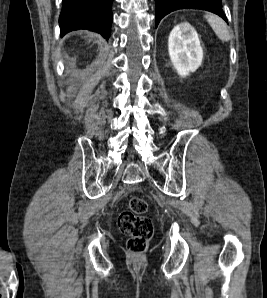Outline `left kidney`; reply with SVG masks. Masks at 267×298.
Here are the masks:
<instances>
[{
    "instance_id": "1",
    "label": "left kidney",
    "mask_w": 267,
    "mask_h": 298,
    "mask_svg": "<svg viewBox=\"0 0 267 298\" xmlns=\"http://www.w3.org/2000/svg\"><path fill=\"white\" fill-rule=\"evenodd\" d=\"M168 52L172 65L181 77L188 76L201 66L203 49L196 30L188 22L172 29L168 38Z\"/></svg>"
}]
</instances>
